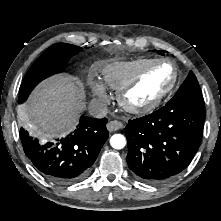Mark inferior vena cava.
<instances>
[{"mask_svg":"<svg viewBox=\"0 0 221 221\" xmlns=\"http://www.w3.org/2000/svg\"><path fill=\"white\" fill-rule=\"evenodd\" d=\"M88 110L92 117L103 118L108 113V106L100 99H93L88 105Z\"/></svg>","mask_w":221,"mask_h":221,"instance_id":"1","label":"inferior vena cava"}]
</instances>
